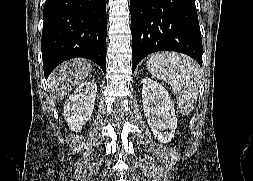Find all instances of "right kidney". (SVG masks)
Returning a JSON list of instances; mask_svg holds the SVG:
<instances>
[{"instance_id": "ca27d5eb", "label": "right kidney", "mask_w": 253, "mask_h": 181, "mask_svg": "<svg viewBox=\"0 0 253 181\" xmlns=\"http://www.w3.org/2000/svg\"><path fill=\"white\" fill-rule=\"evenodd\" d=\"M96 92V83L86 81L79 85L65 102L63 116L72 131H80L91 118Z\"/></svg>"}]
</instances>
